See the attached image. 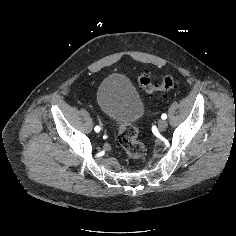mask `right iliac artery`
Returning <instances> with one entry per match:
<instances>
[{"instance_id":"right-iliac-artery-1","label":"right iliac artery","mask_w":236,"mask_h":236,"mask_svg":"<svg viewBox=\"0 0 236 236\" xmlns=\"http://www.w3.org/2000/svg\"><path fill=\"white\" fill-rule=\"evenodd\" d=\"M94 130H95L96 132H99V131L101 130V128H100L99 126H95Z\"/></svg>"}]
</instances>
